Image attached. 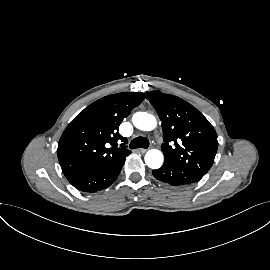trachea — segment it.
Masks as SVG:
<instances>
[{
    "instance_id": "obj_1",
    "label": "trachea",
    "mask_w": 270,
    "mask_h": 270,
    "mask_svg": "<svg viewBox=\"0 0 270 270\" xmlns=\"http://www.w3.org/2000/svg\"><path fill=\"white\" fill-rule=\"evenodd\" d=\"M149 147V140L146 137H136L133 139L129 145L130 149L136 148H148Z\"/></svg>"
}]
</instances>
